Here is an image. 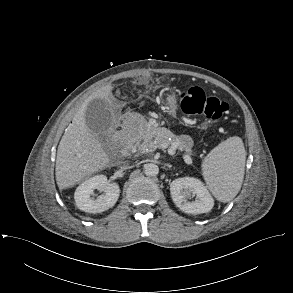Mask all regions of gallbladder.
I'll use <instances>...</instances> for the list:
<instances>
[{"label":"gallbladder","instance_id":"obj_1","mask_svg":"<svg viewBox=\"0 0 293 293\" xmlns=\"http://www.w3.org/2000/svg\"><path fill=\"white\" fill-rule=\"evenodd\" d=\"M86 125L93 134H105L112 126L113 114L104 99L91 100L85 111Z\"/></svg>","mask_w":293,"mask_h":293}]
</instances>
